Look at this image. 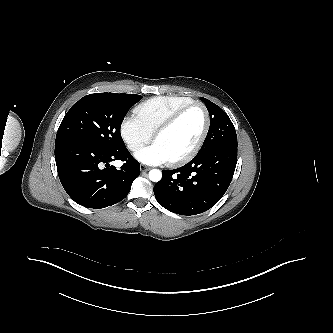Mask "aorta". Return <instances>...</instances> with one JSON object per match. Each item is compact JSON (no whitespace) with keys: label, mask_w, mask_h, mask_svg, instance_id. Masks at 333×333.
I'll return each instance as SVG.
<instances>
[{"label":"aorta","mask_w":333,"mask_h":333,"mask_svg":"<svg viewBox=\"0 0 333 333\" xmlns=\"http://www.w3.org/2000/svg\"><path fill=\"white\" fill-rule=\"evenodd\" d=\"M162 178V172L159 169H152L149 171V179L152 182H158Z\"/></svg>","instance_id":"obj_1"}]
</instances>
